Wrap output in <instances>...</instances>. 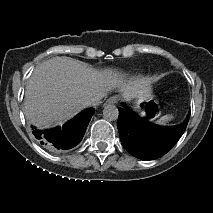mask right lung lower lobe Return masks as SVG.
Wrapping results in <instances>:
<instances>
[{"instance_id": "1", "label": "right lung lower lobe", "mask_w": 213, "mask_h": 213, "mask_svg": "<svg viewBox=\"0 0 213 213\" xmlns=\"http://www.w3.org/2000/svg\"><path fill=\"white\" fill-rule=\"evenodd\" d=\"M94 111V108L86 109L62 128L58 127L46 131L34 130L33 134L41 139L42 144L45 143L57 149H70L82 140Z\"/></svg>"}]
</instances>
